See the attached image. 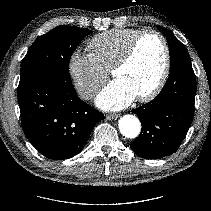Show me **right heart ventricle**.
I'll return each mask as SVG.
<instances>
[{"instance_id":"e07e8e85","label":"right heart ventricle","mask_w":211,"mask_h":211,"mask_svg":"<svg viewBox=\"0 0 211 211\" xmlns=\"http://www.w3.org/2000/svg\"><path fill=\"white\" fill-rule=\"evenodd\" d=\"M140 31L136 28L112 29L91 38L88 48L104 70H111Z\"/></svg>"}]
</instances>
